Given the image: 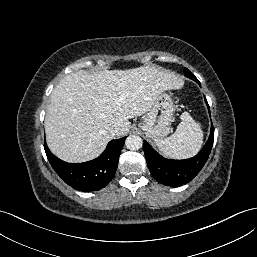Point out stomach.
Wrapping results in <instances>:
<instances>
[{"instance_id": "obj_1", "label": "stomach", "mask_w": 257, "mask_h": 257, "mask_svg": "<svg viewBox=\"0 0 257 257\" xmlns=\"http://www.w3.org/2000/svg\"><path fill=\"white\" fill-rule=\"evenodd\" d=\"M174 110V104L170 95L161 92L155 97L139 128L148 138L154 141L166 137L170 132Z\"/></svg>"}]
</instances>
